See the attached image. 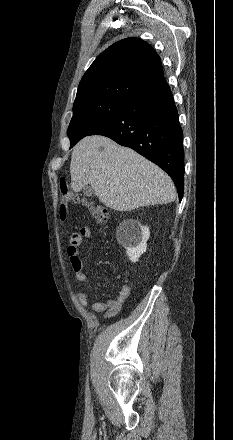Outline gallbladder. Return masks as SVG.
Instances as JSON below:
<instances>
[{
  "label": "gallbladder",
  "mask_w": 233,
  "mask_h": 440,
  "mask_svg": "<svg viewBox=\"0 0 233 440\" xmlns=\"http://www.w3.org/2000/svg\"><path fill=\"white\" fill-rule=\"evenodd\" d=\"M83 193L84 195L91 197L94 195V189L91 186L87 185L83 188Z\"/></svg>",
  "instance_id": "obj_1"
}]
</instances>
